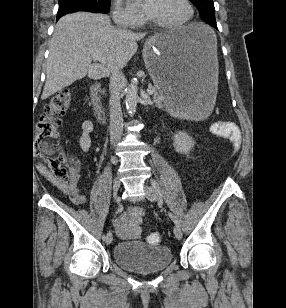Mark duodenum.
I'll return each mask as SVG.
<instances>
[{"label": "duodenum", "instance_id": "410a0bca", "mask_svg": "<svg viewBox=\"0 0 286 308\" xmlns=\"http://www.w3.org/2000/svg\"><path fill=\"white\" fill-rule=\"evenodd\" d=\"M101 90V85L99 83H95L90 88V99L93 111L97 117V119L101 122L105 120L104 111L102 105L99 100V92Z\"/></svg>", "mask_w": 286, "mask_h": 308}]
</instances>
